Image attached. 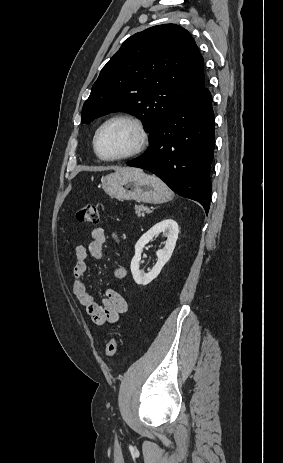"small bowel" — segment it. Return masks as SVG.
Here are the masks:
<instances>
[{
    "instance_id": "c3829d8e",
    "label": "small bowel",
    "mask_w": 283,
    "mask_h": 463,
    "mask_svg": "<svg viewBox=\"0 0 283 463\" xmlns=\"http://www.w3.org/2000/svg\"><path fill=\"white\" fill-rule=\"evenodd\" d=\"M92 240L88 246H77L75 250L74 279L71 290L74 297L84 306L91 320L97 325L107 322L114 323L127 312L128 302L113 288H108L101 300L96 299L88 292L84 276L88 269V256L100 259L104 253L107 234L101 227H95L91 231ZM112 240L119 244V237L115 232L110 233ZM127 268L121 264H115L113 275L116 279H124L127 276Z\"/></svg>"
}]
</instances>
